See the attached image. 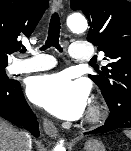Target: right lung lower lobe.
<instances>
[{
  "label": "right lung lower lobe",
  "instance_id": "obj_1",
  "mask_svg": "<svg viewBox=\"0 0 131 151\" xmlns=\"http://www.w3.org/2000/svg\"><path fill=\"white\" fill-rule=\"evenodd\" d=\"M0 117L22 123L33 136L39 137L36 116L23 96L19 81L0 83Z\"/></svg>",
  "mask_w": 131,
  "mask_h": 151
}]
</instances>
